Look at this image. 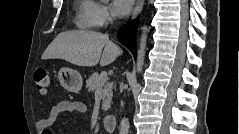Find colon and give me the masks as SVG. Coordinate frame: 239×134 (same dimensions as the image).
Wrapping results in <instances>:
<instances>
[{"instance_id":"5ec220e1","label":"colon","mask_w":239,"mask_h":134,"mask_svg":"<svg viewBox=\"0 0 239 134\" xmlns=\"http://www.w3.org/2000/svg\"><path fill=\"white\" fill-rule=\"evenodd\" d=\"M35 84L39 93L45 95L51 88V78L49 73L44 69L35 72Z\"/></svg>"}]
</instances>
